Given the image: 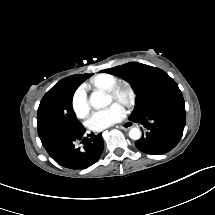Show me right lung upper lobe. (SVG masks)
<instances>
[{
	"instance_id": "right-lung-upper-lobe-1",
	"label": "right lung upper lobe",
	"mask_w": 215,
	"mask_h": 215,
	"mask_svg": "<svg viewBox=\"0 0 215 215\" xmlns=\"http://www.w3.org/2000/svg\"><path fill=\"white\" fill-rule=\"evenodd\" d=\"M74 76H77V77H82V78H88L91 76V74H84V75H74Z\"/></svg>"
}]
</instances>
